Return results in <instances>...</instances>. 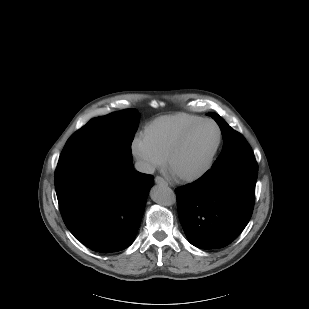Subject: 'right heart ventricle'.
Masks as SVG:
<instances>
[{
    "label": "right heart ventricle",
    "instance_id": "e07e8e85",
    "mask_svg": "<svg viewBox=\"0 0 309 309\" xmlns=\"http://www.w3.org/2000/svg\"><path fill=\"white\" fill-rule=\"evenodd\" d=\"M202 117L178 113L162 116L151 121L144 129L143 137L148 145L165 159L168 151L178 137Z\"/></svg>",
    "mask_w": 309,
    "mask_h": 309
}]
</instances>
